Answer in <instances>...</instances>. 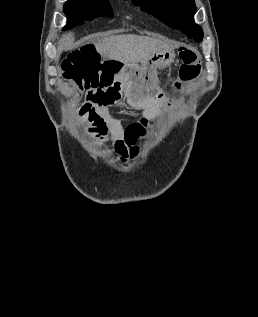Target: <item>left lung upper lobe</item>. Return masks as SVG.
I'll return each mask as SVG.
<instances>
[{"mask_svg":"<svg viewBox=\"0 0 258 317\" xmlns=\"http://www.w3.org/2000/svg\"><path fill=\"white\" fill-rule=\"evenodd\" d=\"M135 5L158 17L172 28H178L189 38L200 42L203 38L202 28L195 24L196 12L194 0H132Z\"/></svg>","mask_w":258,"mask_h":317,"instance_id":"left-lung-upper-lobe-1","label":"left lung upper lobe"}]
</instances>
